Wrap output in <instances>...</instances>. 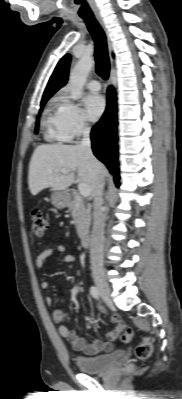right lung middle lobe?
<instances>
[{"mask_svg": "<svg viewBox=\"0 0 182 399\" xmlns=\"http://www.w3.org/2000/svg\"><path fill=\"white\" fill-rule=\"evenodd\" d=\"M48 99H49V98H43V99H42V101H41V110H42L44 104L46 103V101H47ZM41 110H40V112H41ZM38 126H39V120L37 119L36 127H35V133L38 132Z\"/></svg>", "mask_w": 182, "mask_h": 399, "instance_id": "1", "label": "right lung middle lobe"}]
</instances>
